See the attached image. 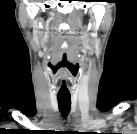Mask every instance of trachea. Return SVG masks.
<instances>
[{
    "label": "trachea",
    "mask_w": 137,
    "mask_h": 134,
    "mask_svg": "<svg viewBox=\"0 0 137 134\" xmlns=\"http://www.w3.org/2000/svg\"><path fill=\"white\" fill-rule=\"evenodd\" d=\"M57 99H58L59 110L62 116L67 117L71 108L70 95H58Z\"/></svg>",
    "instance_id": "trachea-1"
}]
</instances>
